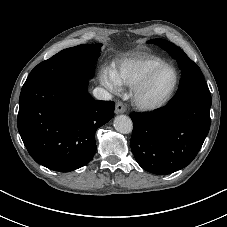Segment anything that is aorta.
<instances>
[{"instance_id":"1","label":"aorta","mask_w":227,"mask_h":227,"mask_svg":"<svg viewBox=\"0 0 227 227\" xmlns=\"http://www.w3.org/2000/svg\"><path fill=\"white\" fill-rule=\"evenodd\" d=\"M114 128L122 134H128L132 132L133 129L132 120L126 115L116 116L114 119Z\"/></svg>"}]
</instances>
